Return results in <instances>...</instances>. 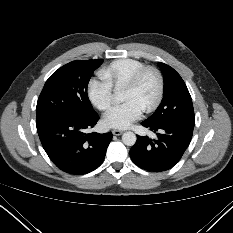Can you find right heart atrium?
I'll return each instance as SVG.
<instances>
[{"instance_id": "1", "label": "right heart atrium", "mask_w": 233, "mask_h": 233, "mask_svg": "<svg viewBox=\"0 0 233 233\" xmlns=\"http://www.w3.org/2000/svg\"><path fill=\"white\" fill-rule=\"evenodd\" d=\"M90 102L100 111L107 112L114 103L113 88L102 78H92L87 85Z\"/></svg>"}]
</instances>
